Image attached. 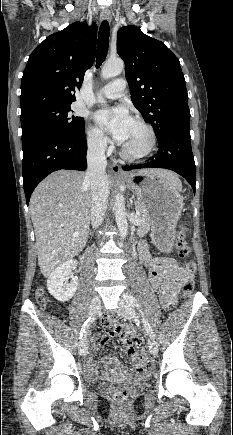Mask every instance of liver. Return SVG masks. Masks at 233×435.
Returning <instances> with one entry per match:
<instances>
[{
    "label": "liver",
    "mask_w": 233,
    "mask_h": 435,
    "mask_svg": "<svg viewBox=\"0 0 233 435\" xmlns=\"http://www.w3.org/2000/svg\"><path fill=\"white\" fill-rule=\"evenodd\" d=\"M174 181L178 176L164 169H143ZM85 173L59 170L47 176L34 190L29 204L34 226L38 264L48 277L62 263L77 256L85 247L91 218L90 182ZM110 184L111 178L107 177ZM79 235L74 237L73 234Z\"/></svg>",
    "instance_id": "6515ba94"
}]
</instances>
